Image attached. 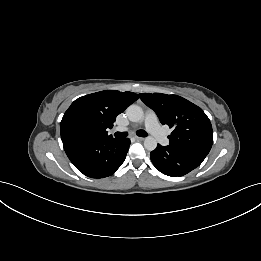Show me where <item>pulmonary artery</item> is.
I'll list each match as a JSON object with an SVG mask.
<instances>
[{"label":"pulmonary artery","mask_w":261,"mask_h":261,"mask_svg":"<svg viewBox=\"0 0 261 261\" xmlns=\"http://www.w3.org/2000/svg\"><path fill=\"white\" fill-rule=\"evenodd\" d=\"M145 126L147 130L154 136V138L163 146L168 145L169 140L167 135L160 127L157 117L154 112L147 111L145 115ZM118 131H123L125 129L118 128Z\"/></svg>","instance_id":"e3ab8cb5"}]
</instances>
